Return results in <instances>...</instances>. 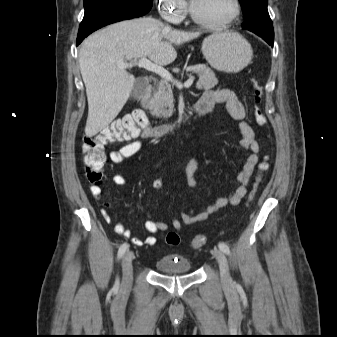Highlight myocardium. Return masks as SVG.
Instances as JSON below:
<instances>
[{
  "instance_id": "1",
  "label": "myocardium",
  "mask_w": 337,
  "mask_h": 337,
  "mask_svg": "<svg viewBox=\"0 0 337 337\" xmlns=\"http://www.w3.org/2000/svg\"><path fill=\"white\" fill-rule=\"evenodd\" d=\"M233 9L231 14L228 18L222 20V21H210L207 19H204L196 14L194 11L191 2L189 3V14L191 19L196 22L197 24H200L207 28H213V29H223L229 27L241 14L242 10V4L241 0H232Z\"/></svg>"
}]
</instances>
